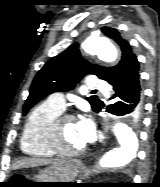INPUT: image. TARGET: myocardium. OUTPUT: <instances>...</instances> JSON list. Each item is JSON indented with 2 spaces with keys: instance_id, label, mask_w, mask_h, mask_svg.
Here are the masks:
<instances>
[{
  "instance_id": "myocardium-1",
  "label": "myocardium",
  "mask_w": 160,
  "mask_h": 187,
  "mask_svg": "<svg viewBox=\"0 0 160 187\" xmlns=\"http://www.w3.org/2000/svg\"><path fill=\"white\" fill-rule=\"evenodd\" d=\"M75 116L68 113H60L50 123L48 130V144L50 148L56 153V155L64 157L80 156L87 150L86 146L76 151H70L63 145L62 138V124L67 120H75Z\"/></svg>"
}]
</instances>
